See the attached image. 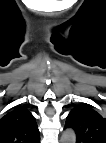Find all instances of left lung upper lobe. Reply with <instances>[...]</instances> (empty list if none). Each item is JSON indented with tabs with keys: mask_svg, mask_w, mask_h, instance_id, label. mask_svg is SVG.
Returning <instances> with one entry per match:
<instances>
[{
	"mask_svg": "<svg viewBox=\"0 0 106 143\" xmlns=\"http://www.w3.org/2000/svg\"><path fill=\"white\" fill-rule=\"evenodd\" d=\"M65 128L75 131L77 143H106V118L87 105L71 110Z\"/></svg>",
	"mask_w": 106,
	"mask_h": 143,
	"instance_id": "obj_1",
	"label": "left lung upper lobe"
}]
</instances>
